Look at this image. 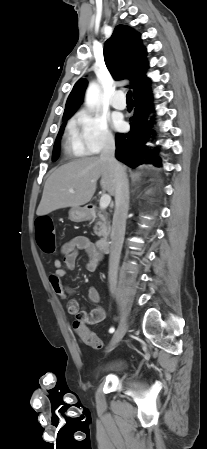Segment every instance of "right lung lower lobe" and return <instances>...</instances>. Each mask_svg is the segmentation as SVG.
<instances>
[{
    "mask_svg": "<svg viewBox=\"0 0 207 449\" xmlns=\"http://www.w3.org/2000/svg\"><path fill=\"white\" fill-rule=\"evenodd\" d=\"M134 106L135 112L130 118V132L116 134L115 156L133 168L143 163H155V166H160V157L149 154L145 145L153 132L152 119H149L152 112L150 86L134 95Z\"/></svg>",
    "mask_w": 207,
    "mask_h": 449,
    "instance_id": "98d812e1",
    "label": "right lung lower lobe"
}]
</instances>
